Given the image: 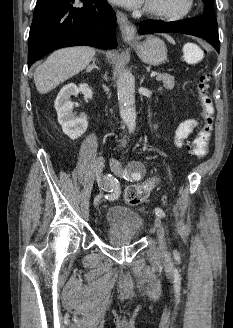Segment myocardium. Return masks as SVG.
<instances>
[{
	"mask_svg": "<svg viewBox=\"0 0 233 328\" xmlns=\"http://www.w3.org/2000/svg\"><path fill=\"white\" fill-rule=\"evenodd\" d=\"M193 8H194V0H184L183 7L176 12L158 10V9L151 8L147 5L144 8V12L148 16L158 18L161 20L177 21L188 17V15L192 12Z\"/></svg>",
	"mask_w": 233,
	"mask_h": 328,
	"instance_id": "myocardium-1",
	"label": "myocardium"
}]
</instances>
